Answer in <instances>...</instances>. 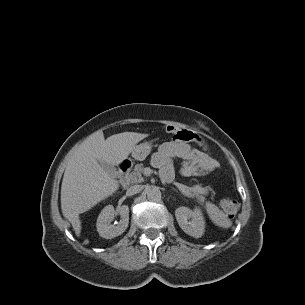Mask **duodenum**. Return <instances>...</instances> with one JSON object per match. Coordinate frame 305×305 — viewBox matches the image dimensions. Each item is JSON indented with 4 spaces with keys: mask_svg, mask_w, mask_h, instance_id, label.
Masks as SVG:
<instances>
[{
    "mask_svg": "<svg viewBox=\"0 0 305 305\" xmlns=\"http://www.w3.org/2000/svg\"><path fill=\"white\" fill-rule=\"evenodd\" d=\"M131 165L129 162H122L119 164L118 169L121 173V179L124 184L127 183V175L130 171Z\"/></svg>",
    "mask_w": 305,
    "mask_h": 305,
    "instance_id": "obj_1",
    "label": "duodenum"
}]
</instances>
